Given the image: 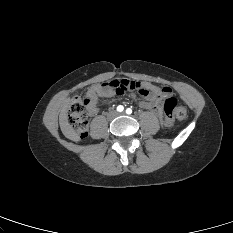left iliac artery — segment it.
Segmentation results:
<instances>
[{"instance_id":"1","label":"left iliac artery","mask_w":233,"mask_h":233,"mask_svg":"<svg viewBox=\"0 0 233 233\" xmlns=\"http://www.w3.org/2000/svg\"><path fill=\"white\" fill-rule=\"evenodd\" d=\"M126 113H127V114H131V113H132V109L127 108V109H126Z\"/></svg>"}]
</instances>
